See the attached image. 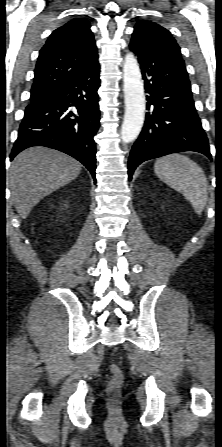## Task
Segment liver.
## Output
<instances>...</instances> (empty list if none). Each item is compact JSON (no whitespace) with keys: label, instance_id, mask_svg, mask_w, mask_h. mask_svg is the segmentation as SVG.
Segmentation results:
<instances>
[{"label":"liver","instance_id":"1","mask_svg":"<svg viewBox=\"0 0 222 447\" xmlns=\"http://www.w3.org/2000/svg\"><path fill=\"white\" fill-rule=\"evenodd\" d=\"M81 168L74 158L44 147L19 153L9 170V187L18 214L26 218L41 199L74 180Z\"/></svg>","mask_w":222,"mask_h":447}]
</instances>
